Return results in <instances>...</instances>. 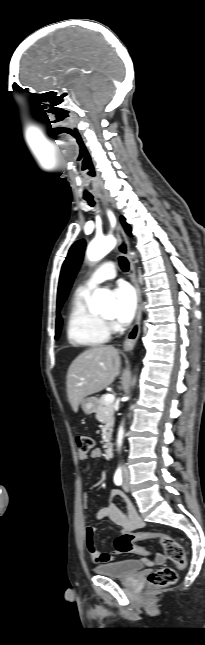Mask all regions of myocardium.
I'll return each mask as SVG.
<instances>
[{"instance_id":"1","label":"myocardium","mask_w":205,"mask_h":645,"mask_svg":"<svg viewBox=\"0 0 205 645\" xmlns=\"http://www.w3.org/2000/svg\"><path fill=\"white\" fill-rule=\"evenodd\" d=\"M100 317L103 319V321H104L106 324H108V323H109V321H110V317H106V316H100Z\"/></svg>"}]
</instances>
